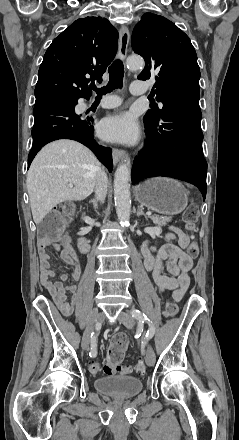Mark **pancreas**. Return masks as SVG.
<instances>
[{
  "label": "pancreas",
  "instance_id": "obj_1",
  "mask_svg": "<svg viewBox=\"0 0 239 440\" xmlns=\"http://www.w3.org/2000/svg\"><path fill=\"white\" fill-rule=\"evenodd\" d=\"M149 218L157 226H167V222L172 220V216H149Z\"/></svg>",
  "mask_w": 239,
  "mask_h": 440
}]
</instances>
